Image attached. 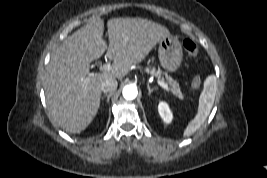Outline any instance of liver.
I'll return each mask as SVG.
<instances>
[{
    "mask_svg": "<svg viewBox=\"0 0 267 178\" xmlns=\"http://www.w3.org/2000/svg\"><path fill=\"white\" fill-rule=\"evenodd\" d=\"M109 46L103 40L104 22L95 17L74 32L52 54L44 81L47 109L66 132L81 133L95 117L101 83L126 76L159 41L170 35L164 26L142 18H113L107 22ZM111 70L90 74L89 64L104 52Z\"/></svg>",
    "mask_w": 267,
    "mask_h": 178,
    "instance_id": "obj_1",
    "label": "liver"
}]
</instances>
